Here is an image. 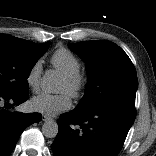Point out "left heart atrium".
<instances>
[{
	"label": "left heart atrium",
	"mask_w": 156,
	"mask_h": 156,
	"mask_svg": "<svg viewBox=\"0 0 156 156\" xmlns=\"http://www.w3.org/2000/svg\"><path fill=\"white\" fill-rule=\"evenodd\" d=\"M70 95L66 92L57 95L41 93L32 98L30 105L34 111L55 116L71 107Z\"/></svg>",
	"instance_id": "1"
}]
</instances>
